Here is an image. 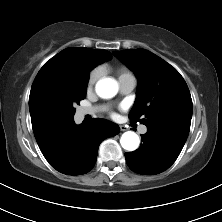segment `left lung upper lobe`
<instances>
[{
    "label": "left lung upper lobe",
    "instance_id": "obj_1",
    "mask_svg": "<svg viewBox=\"0 0 222 222\" xmlns=\"http://www.w3.org/2000/svg\"><path fill=\"white\" fill-rule=\"evenodd\" d=\"M138 78L135 104L129 117L147 128L163 124H180L189 132L192 99L179 72L157 55L145 49L114 51Z\"/></svg>",
    "mask_w": 222,
    "mask_h": 222
}]
</instances>
